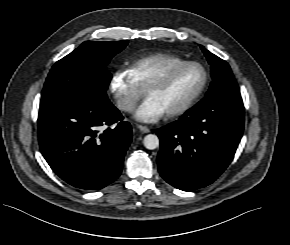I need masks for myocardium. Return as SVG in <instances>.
Here are the masks:
<instances>
[{
    "label": "myocardium",
    "instance_id": "obj_1",
    "mask_svg": "<svg viewBox=\"0 0 290 245\" xmlns=\"http://www.w3.org/2000/svg\"><path fill=\"white\" fill-rule=\"evenodd\" d=\"M186 67H198L203 72V82L200 87L196 90V92L180 107L166 112L169 117H175L184 114L187 112L201 97L204 93L205 89L207 88L209 82V74L207 69L200 63L194 61H185L182 63H178L172 66H169L159 74H157L146 86H145V93L147 90L153 87H157L162 85L172 73L177 72Z\"/></svg>",
    "mask_w": 290,
    "mask_h": 245
}]
</instances>
